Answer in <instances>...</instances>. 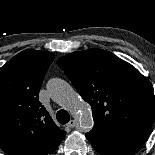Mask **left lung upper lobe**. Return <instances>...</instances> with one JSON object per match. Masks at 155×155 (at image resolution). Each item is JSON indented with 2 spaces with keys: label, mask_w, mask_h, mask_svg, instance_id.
I'll use <instances>...</instances> for the list:
<instances>
[{
  "label": "left lung upper lobe",
  "mask_w": 155,
  "mask_h": 155,
  "mask_svg": "<svg viewBox=\"0 0 155 155\" xmlns=\"http://www.w3.org/2000/svg\"><path fill=\"white\" fill-rule=\"evenodd\" d=\"M57 65L91 105L92 130L152 125L153 86L131 64L111 52L93 48L60 57Z\"/></svg>",
  "instance_id": "left-lung-upper-lobe-1"
}]
</instances>
